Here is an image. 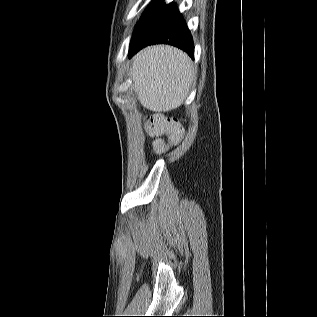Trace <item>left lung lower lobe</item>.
Segmentation results:
<instances>
[{
	"instance_id": "obj_1",
	"label": "left lung lower lobe",
	"mask_w": 317,
	"mask_h": 317,
	"mask_svg": "<svg viewBox=\"0 0 317 317\" xmlns=\"http://www.w3.org/2000/svg\"><path fill=\"white\" fill-rule=\"evenodd\" d=\"M153 44L173 45L194 59L191 34L175 5H163L131 39L128 57Z\"/></svg>"
}]
</instances>
